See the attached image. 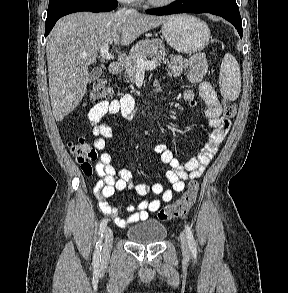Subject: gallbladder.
Here are the masks:
<instances>
[{
	"label": "gallbladder",
	"instance_id": "gallbladder-1",
	"mask_svg": "<svg viewBox=\"0 0 288 293\" xmlns=\"http://www.w3.org/2000/svg\"><path fill=\"white\" fill-rule=\"evenodd\" d=\"M102 72H103L102 67L93 68V70L90 73L89 82L95 81L96 79H98L101 76Z\"/></svg>",
	"mask_w": 288,
	"mask_h": 293
}]
</instances>
